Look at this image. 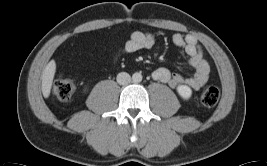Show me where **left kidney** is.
Listing matches in <instances>:
<instances>
[{
    "label": "left kidney",
    "instance_id": "left-kidney-1",
    "mask_svg": "<svg viewBox=\"0 0 267 166\" xmlns=\"http://www.w3.org/2000/svg\"><path fill=\"white\" fill-rule=\"evenodd\" d=\"M177 92L178 94L183 98V99H189L192 95V90L190 87L186 85H180L177 87Z\"/></svg>",
    "mask_w": 267,
    "mask_h": 166
}]
</instances>
